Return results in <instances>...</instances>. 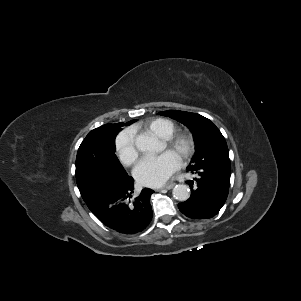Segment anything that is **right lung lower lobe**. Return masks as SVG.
<instances>
[{"label": "right lung lower lobe", "instance_id": "obj_1", "mask_svg": "<svg viewBox=\"0 0 301 301\" xmlns=\"http://www.w3.org/2000/svg\"><path fill=\"white\" fill-rule=\"evenodd\" d=\"M134 179L130 176H105L92 184L83 197L91 212L107 227L123 234L144 230L152 219L150 197L154 192L145 188L133 198Z\"/></svg>", "mask_w": 301, "mask_h": 301}]
</instances>
